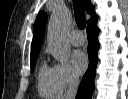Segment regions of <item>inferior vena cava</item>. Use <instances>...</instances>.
Returning a JSON list of instances; mask_svg holds the SVG:
<instances>
[{
	"mask_svg": "<svg viewBox=\"0 0 128 99\" xmlns=\"http://www.w3.org/2000/svg\"><path fill=\"white\" fill-rule=\"evenodd\" d=\"M78 86H79V79L76 77L71 78L68 84V88L65 91L62 99H75Z\"/></svg>",
	"mask_w": 128,
	"mask_h": 99,
	"instance_id": "inferior-vena-cava-1",
	"label": "inferior vena cava"
}]
</instances>
